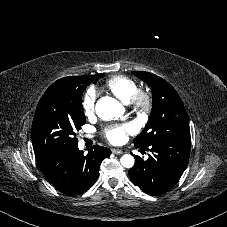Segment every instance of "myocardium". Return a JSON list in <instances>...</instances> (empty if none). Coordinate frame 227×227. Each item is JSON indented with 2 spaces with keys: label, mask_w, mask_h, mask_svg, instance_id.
<instances>
[{
  "label": "myocardium",
  "mask_w": 227,
  "mask_h": 227,
  "mask_svg": "<svg viewBox=\"0 0 227 227\" xmlns=\"http://www.w3.org/2000/svg\"><path fill=\"white\" fill-rule=\"evenodd\" d=\"M126 106L138 117H145L152 108V96L146 89H137Z\"/></svg>",
  "instance_id": "myocardium-1"
}]
</instances>
